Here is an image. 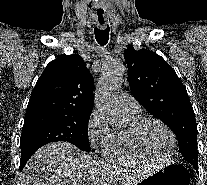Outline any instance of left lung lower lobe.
<instances>
[{"label":"left lung lower lobe","instance_id":"obj_1","mask_svg":"<svg viewBox=\"0 0 207 185\" xmlns=\"http://www.w3.org/2000/svg\"><path fill=\"white\" fill-rule=\"evenodd\" d=\"M192 165H193V167L198 171V160H197V162L196 161H192V163H191Z\"/></svg>","mask_w":207,"mask_h":185}]
</instances>
